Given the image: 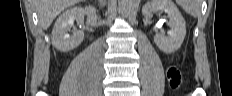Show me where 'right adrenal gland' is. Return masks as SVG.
Segmentation results:
<instances>
[{
    "instance_id": "right-adrenal-gland-1",
    "label": "right adrenal gland",
    "mask_w": 232,
    "mask_h": 96,
    "mask_svg": "<svg viewBox=\"0 0 232 96\" xmlns=\"http://www.w3.org/2000/svg\"><path fill=\"white\" fill-rule=\"evenodd\" d=\"M96 2H98V6L100 9H102L105 6V0H95Z\"/></svg>"
}]
</instances>
